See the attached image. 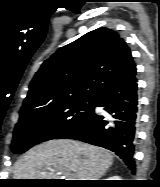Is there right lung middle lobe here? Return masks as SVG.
<instances>
[{"mask_svg": "<svg viewBox=\"0 0 160 187\" xmlns=\"http://www.w3.org/2000/svg\"><path fill=\"white\" fill-rule=\"evenodd\" d=\"M94 108L95 98H78L20 112L14 129L12 151L23 153L41 142L65 138L84 124Z\"/></svg>", "mask_w": 160, "mask_h": 187, "instance_id": "obj_1", "label": "right lung middle lobe"}]
</instances>
